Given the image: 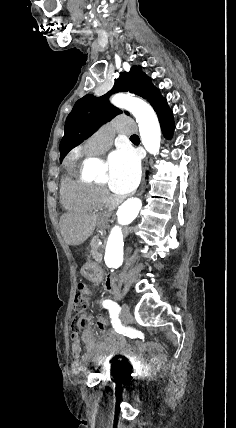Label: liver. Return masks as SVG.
Wrapping results in <instances>:
<instances>
[{
    "label": "liver",
    "instance_id": "liver-1",
    "mask_svg": "<svg viewBox=\"0 0 236 428\" xmlns=\"http://www.w3.org/2000/svg\"><path fill=\"white\" fill-rule=\"evenodd\" d=\"M97 214H63L59 226L65 244L79 246L88 240L98 224Z\"/></svg>",
    "mask_w": 236,
    "mask_h": 428
}]
</instances>
